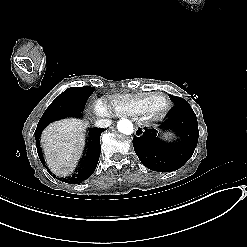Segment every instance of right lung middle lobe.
Instances as JSON below:
<instances>
[{"label":"right lung middle lobe","mask_w":247,"mask_h":247,"mask_svg":"<svg viewBox=\"0 0 247 247\" xmlns=\"http://www.w3.org/2000/svg\"><path fill=\"white\" fill-rule=\"evenodd\" d=\"M94 90L93 87L68 88L48 106L41 120H54L80 113Z\"/></svg>","instance_id":"1"}]
</instances>
